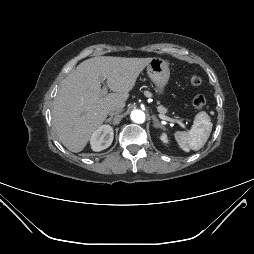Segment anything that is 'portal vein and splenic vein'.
I'll return each instance as SVG.
<instances>
[{"label":"portal vein and splenic vein","mask_w":254,"mask_h":254,"mask_svg":"<svg viewBox=\"0 0 254 254\" xmlns=\"http://www.w3.org/2000/svg\"><path fill=\"white\" fill-rule=\"evenodd\" d=\"M104 80H105V78L102 79V82H103ZM107 92H108L107 86H106V85H103L102 90H101V92H100L101 96H105V95L107 94ZM158 116H159L160 119H163V120H166V121H169V122H176V123H178L180 126H182V127H184V128L186 127V126L182 123L181 120H176V119L170 118V117H168V116H165V115H163V114H159Z\"/></svg>","instance_id":"1"}]
</instances>
